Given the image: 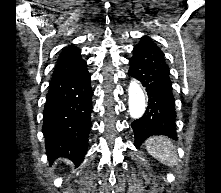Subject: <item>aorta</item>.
Returning <instances> with one entry per match:
<instances>
[{
    "label": "aorta",
    "mask_w": 221,
    "mask_h": 193,
    "mask_svg": "<svg viewBox=\"0 0 221 193\" xmlns=\"http://www.w3.org/2000/svg\"><path fill=\"white\" fill-rule=\"evenodd\" d=\"M129 113L132 118H139L145 111V95L140 85L136 81H131L128 90Z\"/></svg>",
    "instance_id": "1"
}]
</instances>
